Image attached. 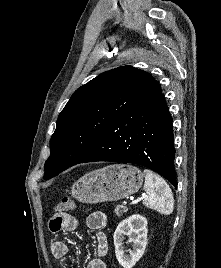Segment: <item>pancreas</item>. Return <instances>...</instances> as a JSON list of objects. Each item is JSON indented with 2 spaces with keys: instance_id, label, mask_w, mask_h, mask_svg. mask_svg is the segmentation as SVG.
Instances as JSON below:
<instances>
[{
  "instance_id": "1",
  "label": "pancreas",
  "mask_w": 221,
  "mask_h": 268,
  "mask_svg": "<svg viewBox=\"0 0 221 268\" xmlns=\"http://www.w3.org/2000/svg\"><path fill=\"white\" fill-rule=\"evenodd\" d=\"M127 212V208L122 205H117L114 209V213L117 217H121L124 213Z\"/></svg>"
}]
</instances>
